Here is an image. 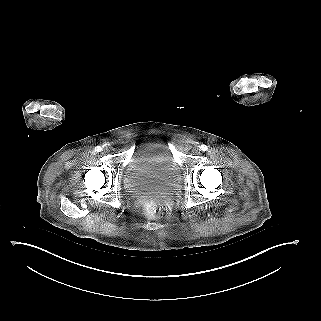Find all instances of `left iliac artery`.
<instances>
[{
  "mask_svg": "<svg viewBox=\"0 0 321 321\" xmlns=\"http://www.w3.org/2000/svg\"><path fill=\"white\" fill-rule=\"evenodd\" d=\"M208 148H207V146L206 145H201L200 146V150H202V151H206Z\"/></svg>",
  "mask_w": 321,
  "mask_h": 321,
  "instance_id": "left-iliac-artery-1",
  "label": "left iliac artery"
}]
</instances>
